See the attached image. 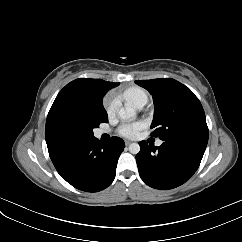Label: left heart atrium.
Returning <instances> with one entry per match:
<instances>
[{
    "label": "left heart atrium",
    "mask_w": 242,
    "mask_h": 242,
    "mask_svg": "<svg viewBox=\"0 0 242 242\" xmlns=\"http://www.w3.org/2000/svg\"><path fill=\"white\" fill-rule=\"evenodd\" d=\"M145 128V123L142 121H137L133 123H125L122 124L119 129L118 133L126 138H136L140 131Z\"/></svg>",
    "instance_id": "obj_1"
}]
</instances>
